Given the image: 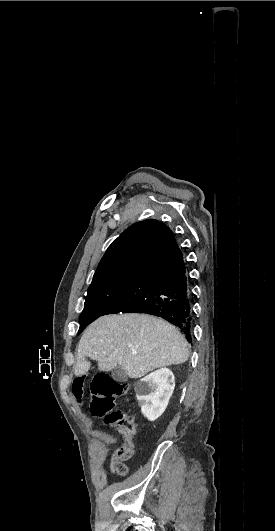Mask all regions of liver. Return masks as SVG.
Returning a JSON list of instances; mask_svg holds the SVG:
<instances>
[{
	"instance_id": "1",
	"label": "liver",
	"mask_w": 275,
	"mask_h": 531,
	"mask_svg": "<svg viewBox=\"0 0 275 531\" xmlns=\"http://www.w3.org/2000/svg\"><path fill=\"white\" fill-rule=\"evenodd\" d=\"M87 357L98 361L99 371L120 365L130 379H140L154 369L186 363L189 351L184 335L167 321L126 313L100 317L87 327L78 345L76 377L88 373Z\"/></svg>"
}]
</instances>
